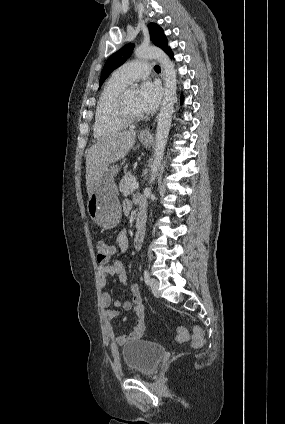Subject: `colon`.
Here are the masks:
<instances>
[{
  "mask_svg": "<svg viewBox=\"0 0 285 424\" xmlns=\"http://www.w3.org/2000/svg\"><path fill=\"white\" fill-rule=\"evenodd\" d=\"M96 257L99 263H107L110 257L114 253V247L102 240L95 242ZM189 338V335L185 329L180 328L177 332V340L184 341ZM193 343L196 347H201L204 343L205 336L204 331L201 327L195 326L192 335Z\"/></svg>",
  "mask_w": 285,
  "mask_h": 424,
  "instance_id": "1",
  "label": "colon"
}]
</instances>
